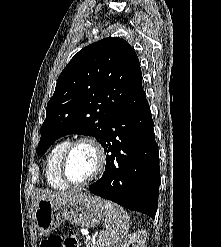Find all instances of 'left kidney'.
<instances>
[{
    "label": "left kidney",
    "instance_id": "left-kidney-1",
    "mask_svg": "<svg viewBox=\"0 0 221 247\" xmlns=\"http://www.w3.org/2000/svg\"><path fill=\"white\" fill-rule=\"evenodd\" d=\"M147 232L139 230L126 236L121 242L114 247H145Z\"/></svg>",
    "mask_w": 221,
    "mask_h": 247
}]
</instances>
